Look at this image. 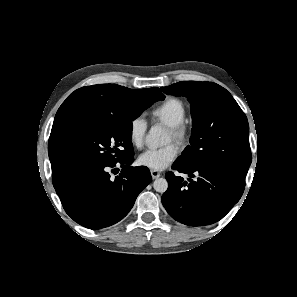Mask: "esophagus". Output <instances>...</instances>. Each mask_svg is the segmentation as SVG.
I'll use <instances>...</instances> for the list:
<instances>
[{"mask_svg":"<svg viewBox=\"0 0 297 297\" xmlns=\"http://www.w3.org/2000/svg\"><path fill=\"white\" fill-rule=\"evenodd\" d=\"M151 176L153 179H157L161 176V173L157 170H151Z\"/></svg>","mask_w":297,"mask_h":297,"instance_id":"34e87169","label":"esophagus"}]
</instances>
